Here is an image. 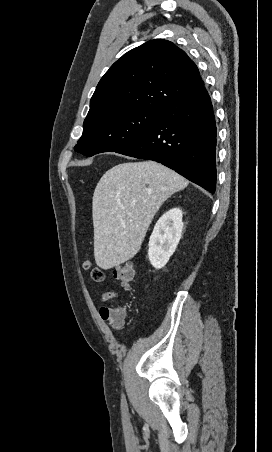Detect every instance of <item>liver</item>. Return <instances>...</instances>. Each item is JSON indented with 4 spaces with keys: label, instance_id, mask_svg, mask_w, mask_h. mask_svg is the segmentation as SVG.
<instances>
[{
    "label": "liver",
    "instance_id": "6515ba94",
    "mask_svg": "<svg viewBox=\"0 0 272 452\" xmlns=\"http://www.w3.org/2000/svg\"><path fill=\"white\" fill-rule=\"evenodd\" d=\"M188 181L154 161L109 169L93 194L94 257L103 270L133 258L161 205Z\"/></svg>",
    "mask_w": 272,
    "mask_h": 452
}]
</instances>
